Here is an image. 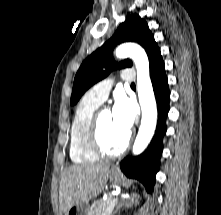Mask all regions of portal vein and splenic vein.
Instances as JSON below:
<instances>
[{
  "label": "portal vein and splenic vein",
  "mask_w": 221,
  "mask_h": 215,
  "mask_svg": "<svg viewBox=\"0 0 221 215\" xmlns=\"http://www.w3.org/2000/svg\"><path fill=\"white\" fill-rule=\"evenodd\" d=\"M118 202V198L114 199V204H116Z\"/></svg>",
  "instance_id": "18ae733b"
}]
</instances>
